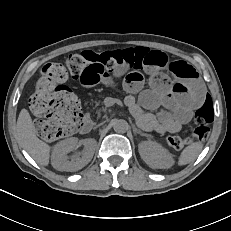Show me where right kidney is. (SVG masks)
Instances as JSON below:
<instances>
[{
  "instance_id": "ca27d5eb",
  "label": "right kidney",
  "mask_w": 231,
  "mask_h": 231,
  "mask_svg": "<svg viewBox=\"0 0 231 231\" xmlns=\"http://www.w3.org/2000/svg\"><path fill=\"white\" fill-rule=\"evenodd\" d=\"M78 143L75 137L68 138L57 143L52 151V166L59 171L74 172L82 169L92 159L96 147V140L92 138L84 139L81 144L84 149L81 157H75L71 161L67 160V154L73 151Z\"/></svg>"
}]
</instances>
